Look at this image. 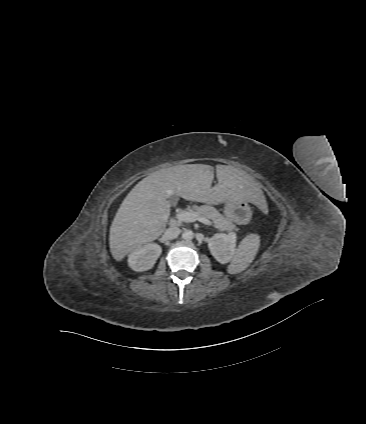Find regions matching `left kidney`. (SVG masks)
<instances>
[{"mask_svg": "<svg viewBox=\"0 0 366 424\" xmlns=\"http://www.w3.org/2000/svg\"><path fill=\"white\" fill-rule=\"evenodd\" d=\"M237 237L235 233H219L209 239L208 247L212 256L221 264L231 261L236 250Z\"/></svg>", "mask_w": 366, "mask_h": 424, "instance_id": "obj_1", "label": "left kidney"}]
</instances>
